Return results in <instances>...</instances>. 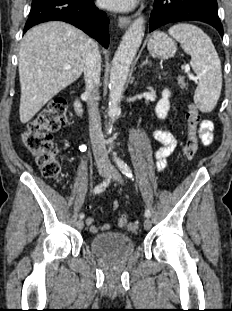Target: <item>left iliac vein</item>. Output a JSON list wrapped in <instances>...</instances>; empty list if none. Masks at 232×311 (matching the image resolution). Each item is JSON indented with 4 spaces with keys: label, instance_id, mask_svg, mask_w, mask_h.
Returning a JSON list of instances; mask_svg holds the SVG:
<instances>
[{
    "label": "left iliac vein",
    "instance_id": "obj_1",
    "mask_svg": "<svg viewBox=\"0 0 232 311\" xmlns=\"http://www.w3.org/2000/svg\"><path fill=\"white\" fill-rule=\"evenodd\" d=\"M111 171L113 173V179L115 181H118V182L122 183V178H121L120 173L114 167H111ZM151 225H152L151 220L149 218H146L144 220V228L145 229H149V228H151Z\"/></svg>",
    "mask_w": 232,
    "mask_h": 311
}]
</instances>
